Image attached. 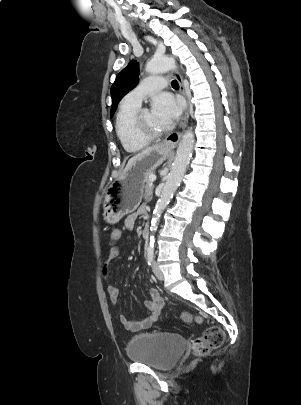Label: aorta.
<instances>
[{
  "instance_id": "762f6f07",
  "label": "aorta",
  "mask_w": 301,
  "mask_h": 405,
  "mask_svg": "<svg viewBox=\"0 0 301 405\" xmlns=\"http://www.w3.org/2000/svg\"><path fill=\"white\" fill-rule=\"evenodd\" d=\"M176 67V62L171 57H160L154 58L149 61L146 65V71L149 73H164ZM194 144V133L192 128H189L184 135L178 145L177 154L172 166V169L168 175L167 181L165 186L162 190V193L157 200L155 205V209L153 211V217L151 220V227L150 231L152 235L150 236V246L152 247L154 244V236L153 233L156 232L158 223L160 221L161 214L163 210L166 208L168 203L173 197L176 189L180 185L182 178L185 174L187 166L190 161V157L193 150Z\"/></svg>"
}]
</instances>
